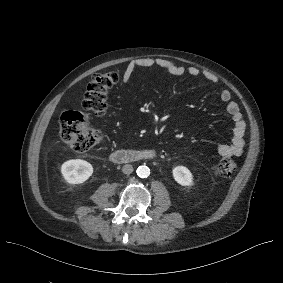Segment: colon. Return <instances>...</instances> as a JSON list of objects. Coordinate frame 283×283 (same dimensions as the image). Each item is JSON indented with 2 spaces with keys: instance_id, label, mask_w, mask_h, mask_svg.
Segmentation results:
<instances>
[{
  "instance_id": "1",
  "label": "colon",
  "mask_w": 283,
  "mask_h": 283,
  "mask_svg": "<svg viewBox=\"0 0 283 283\" xmlns=\"http://www.w3.org/2000/svg\"><path fill=\"white\" fill-rule=\"evenodd\" d=\"M119 81L115 71L99 73L93 76L84 93L82 107L96 115H104L108 109V91ZM62 140L78 152H85L95 147L101 140V132L90 125L88 115L67 109L59 119ZM237 169V164L231 159H221L214 167L216 176L226 178Z\"/></svg>"
}]
</instances>
